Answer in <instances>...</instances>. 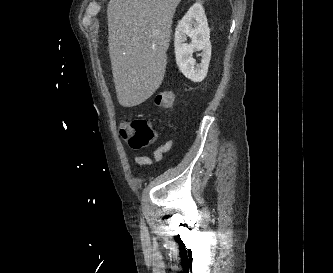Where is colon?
<instances>
[{"label": "colon", "mask_w": 333, "mask_h": 273, "mask_svg": "<svg viewBox=\"0 0 333 273\" xmlns=\"http://www.w3.org/2000/svg\"><path fill=\"white\" fill-rule=\"evenodd\" d=\"M156 105L164 110H171L175 103L174 93L165 89L155 97ZM120 135L134 149H143L150 146L156 137L151 124L142 118L123 121L119 125Z\"/></svg>", "instance_id": "obj_1"}]
</instances>
